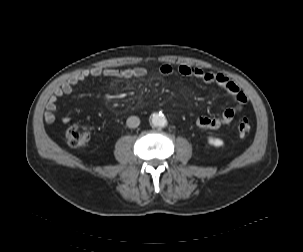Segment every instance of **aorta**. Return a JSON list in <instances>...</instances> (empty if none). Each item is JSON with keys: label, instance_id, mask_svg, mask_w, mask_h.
<instances>
[{"label": "aorta", "instance_id": "obj_1", "mask_svg": "<svg viewBox=\"0 0 303 252\" xmlns=\"http://www.w3.org/2000/svg\"><path fill=\"white\" fill-rule=\"evenodd\" d=\"M150 123L153 127H164L167 124V119L161 113H153L150 117Z\"/></svg>", "mask_w": 303, "mask_h": 252}]
</instances>
